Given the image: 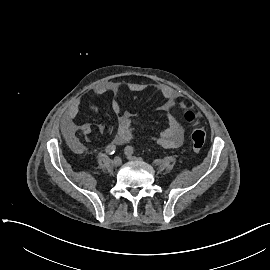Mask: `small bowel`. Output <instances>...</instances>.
Returning <instances> with one entry per match:
<instances>
[{"mask_svg": "<svg viewBox=\"0 0 270 270\" xmlns=\"http://www.w3.org/2000/svg\"><path fill=\"white\" fill-rule=\"evenodd\" d=\"M147 86L140 83L130 84L127 88L130 91H142ZM122 87L119 83L108 82L98 86L93 93L95 95H103L109 93L112 95L110 108L117 116L118 128L114 138L116 145H122L129 142L133 138L132 114L128 111H123L121 103L118 99ZM153 90L165 99V103L160 107V110L166 112V128L159 133L151 136V139L158 145L176 149L182 145L185 133V126L179 122L172 114L178 94L169 86L159 84L153 86ZM80 101L74 102L68 109L64 120V131L67 137L74 138L77 134L89 135L92 132L93 125L90 122H79L78 115L80 112ZM97 129L100 133L105 131V125L98 123Z\"/></svg>", "mask_w": 270, "mask_h": 270, "instance_id": "obj_1", "label": "small bowel"}]
</instances>
